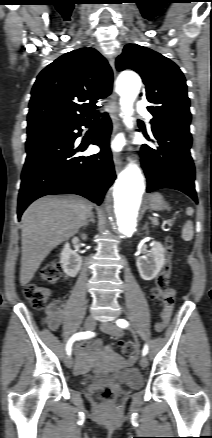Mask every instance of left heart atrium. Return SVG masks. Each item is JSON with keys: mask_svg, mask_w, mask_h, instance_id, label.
Wrapping results in <instances>:
<instances>
[{"mask_svg": "<svg viewBox=\"0 0 212 438\" xmlns=\"http://www.w3.org/2000/svg\"><path fill=\"white\" fill-rule=\"evenodd\" d=\"M110 148H111L113 151H119L120 148H121V142L118 141V140L113 141V142L110 144Z\"/></svg>", "mask_w": 212, "mask_h": 438, "instance_id": "obj_1", "label": "left heart atrium"}]
</instances>
